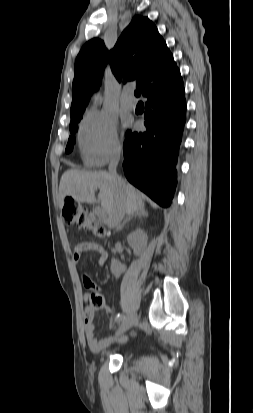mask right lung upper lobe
Returning a JSON list of instances; mask_svg holds the SVG:
<instances>
[{
  "label": "right lung upper lobe",
  "instance_id": "1",
  "mask_svg": "<svg viewBox=\"0 0 253 413\" xmlns=\"http://www.w3.org/2000/svg\"><path fill=\"white\" fill-rule=\"evenodd\" d=\"M107 62L119 82L136 81L145 97L154 92L174 90L183 84L180 71L156 26L147 17L137 15L111 51L98 38L81 48L75 61L71 120L83 116L90 95L101 84Z\"/></svg>",
  "mask_w": 253,
  "mask_h": 413
}]
</instances>
